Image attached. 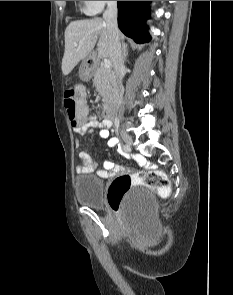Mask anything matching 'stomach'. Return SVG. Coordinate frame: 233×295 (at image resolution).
I'll return each mask as SVG.
<instances>
[{
	"instance_id": "stomach-1",
	"label": "stomach",
	"mask_w": 233,
	"mask_h": 295,
	"mask_svg": "<svg viewBox=\"0 0 233 295\" xmlns=\"http://www.w3.org/2000/svg\"><path fill=\"white\" fill-rule=\"evenodd\" d=\"M92 75V65L88 63V59H85L79 69V76L82 80L87 81Z\"/></svg>"
}]
</instances>
